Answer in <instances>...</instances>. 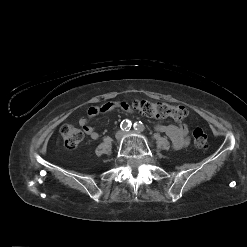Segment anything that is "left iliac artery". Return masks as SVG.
Wrapping results in <instances>:
<instances>
[{"label":"left iliac artery","mask_w":247,"mask_h":247,"mask_svg":"<svg viewBox=\"0 0 247 247\" xmlns=\"http://www.w3.org/2000/svg\"><path fill=\"white\" fill-rule=\"evenodd\" d=\"M134 129L138 132H143L145 127L141 121L135 122L133 125Z\"/></svg>","instance_id":"44dca946"}]
</instances>
